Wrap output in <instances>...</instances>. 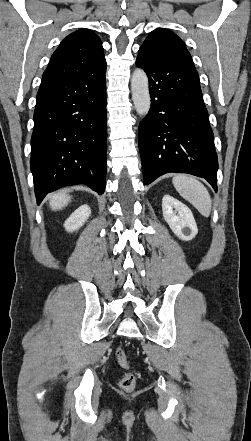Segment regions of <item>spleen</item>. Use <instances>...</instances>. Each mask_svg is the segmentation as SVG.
Wrapping results in <instances>:
<instances>
[{
	"mask_svg": "<svg viewBox=\"0 0 251 441\" xmlns=\"http://www.w3.org/2000/svg\"><path fill=\"white\" fill-rule=\"evenodd\" d=\"M177 192L189 201L205 217H209L212 200L206 187L188 175H176L172 179Z\"/></svg>",
	"mask_w": 251,
	"mask_h": 441,
	"instance_id": "obj_1",
	"label": "spleen"
}]
</instances>
